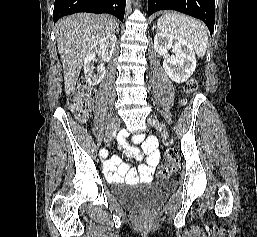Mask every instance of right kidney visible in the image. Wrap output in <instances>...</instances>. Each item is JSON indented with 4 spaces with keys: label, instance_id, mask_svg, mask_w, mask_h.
<instances>
[{
    "label": "right kidney",
    "instance_id": "ca27d5eb",
    "mask_svg": "<svg viewBox=\"0 0 257 237\" xmlns=\"http://www.w3.org/2000/svg\"><path fill=\"white\" fill-rule=\"evenodd\" d=\"M116 40L117 38L114 34H109L95 42L88 50L84 59V74L90 85H98L106 72L103 64L99 65L96 72H94L96 54L100 55L104 62H109L115 49Z\"/></svg>",
    "mask_w": 257,
    "mask_h": 237
}]
</instances>
